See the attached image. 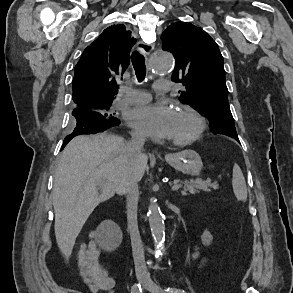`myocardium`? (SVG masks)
I'll list each match as a JSON object with an SVG mask.
<instances>
[{
  "label": "myocardium",
  "mask_w": 293,
  "mask_h": 293,
  "mask_svg": "<svg viewBox=\"0 0 293 293\" xmlns=\"http://www.w3.org/2000/svg\"><path fill=\"white\" fill-rule=\"evenodd\" d=\"M177 112L190 116L195 121V124H196L195 129L191 135L185 138L175 139L170 141L171 144L176 146H186L195 142L202 136L206 127V123L204 118L201 116V114H199L196 110H194L191 107L181 106L178 108Z\"/></svg>",
  "instance_id": "obj_1"
}]
</instances>
